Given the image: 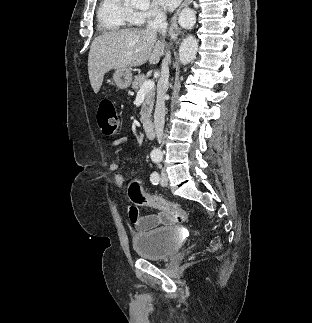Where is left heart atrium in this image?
I'll return each instance as SVG.
<instances>
[{
  "mask_svg": "<svg viewBox=\"0 0 312 323\" xmlns=\"http://www.w3.org/2000/svg\"><path fill=\"white\" fill-rule=\"evenodd\" d=\"M159 8H162L163 12H176L177 8H180L184 0H156Z\"/></svg>",
  "mask_w": 312,
  "mask_h": 323,
  "instance_id": "obj_1",
  "label": "left heart atrium"
}]
</instances>
